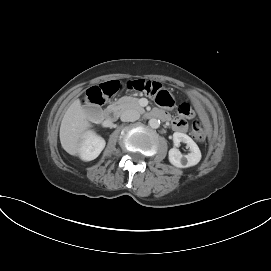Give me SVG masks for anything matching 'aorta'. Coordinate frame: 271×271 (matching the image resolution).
Segmentation results:
<instances>
[{
	"label": "aorta",
	"instance_id": "1",
	"mask_svg": "<svg viewBox=\"0 0 271 271\" xmlns=\"http://www.w3.org/2000/svg\"><path fill=\"white\" fill-rule=\"evenodd\" d=\"M149 126L153 129H157L160 126V120L151 118L148 122Z\"/></svg>",
	"mask_w": 271,
	"mask_h": 271
}]
</instances>
